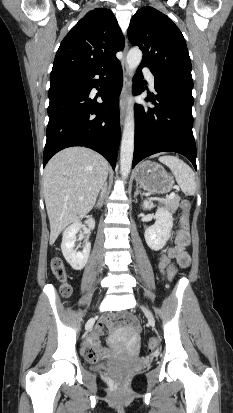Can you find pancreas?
Instances as JSON below:
<instances>
[{
    "label": "pancreas",
    "instance_id": "1",
    "mask_svg": "<svg viewBox=\"0 0 233 413\" xmlns=\"http://www.w3.org/2000/svg\"><path fill=\"white\" fill-rule=\"evenodd\" d=\"M179 202H180V197L179 196H174L173 199L168 200L164 203V205L170 209L172 212H175L177 208L179 207Z\"/></svg>",
    "mask_w": 233,
    "mask_h": 413
}]
</instances>
